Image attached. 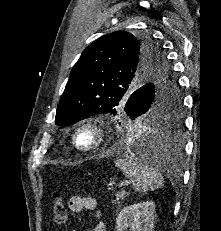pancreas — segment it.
<instances>
[{
  "mask_svg": "<svg viewBox=\"0 0 221 231\" xmlns=\"http://www.w3.org/2000/svg\"><path fill=\"white\" fill-rule=\"evenodd\" d=\"M125 193L124 192H120L116 194V198L112 200V203H116L119 202L120 199L124 198Z\"/></svg>",
  "mask_w": 221,
  "mask_h": 231,
  "instance_id": "obj_1",
  "label": "pancreas"
}]
</instances>
